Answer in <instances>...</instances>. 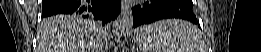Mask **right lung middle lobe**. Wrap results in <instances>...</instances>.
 Masks as SVG:
<instances>
[{
    "instance_id": "right-lung-middle-lobe-1",
    "label": "right lung middle lobe",
    "mask_w": 261,
    "mask_h": 52,
    "mask_svg": "<svg viewBox=\"0 0 261 52\" xmlns=\"http://www.w3.org/2000/svg\"><path fill=\"white\" fill-rule=\"evenodd\" d=\"M73 16H74V15H73ZM75 17H78V18L83 19V20H85V21H91V22H93L97 28H101V27H102V25H101L99 22H97L96 20H94V19H92V18H90V17H81V16H76V15H75Z\"/></svg>"
}]
</instances>
